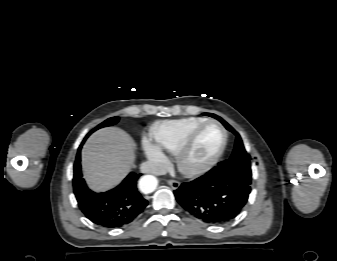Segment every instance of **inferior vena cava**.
<instances>
[{
	"label": "inferior vena cava",
	"instance_id": "1",
	"mask_svg": "<svg viewBox=\"0 0 337 261\" xmlns=\"http://www.w3.org/2000/svg\"><path fill=\"white\" fill-rule=\"evenodd\" d=\"M140 169L142 173H150L154 175L166 174V170L160 164L151 161L142 163Z\"/></svg>",
	"mask_w": 337,
	"mask_h": 261
}]
</instances>
